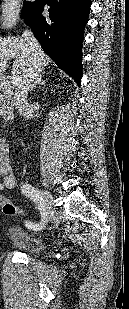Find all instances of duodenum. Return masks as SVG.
Here are the masks:
<instances>
[{
  "mask_svg": "<svg viewBox=\"0 0 129 309\" xmlns=\"http://www.w3.org/2000/svg\"><path fill=\"white\" fill-rule=\"evenodd\" d=\"M1 114L4 119L8 121L11 120L13 118V112L11 106L8 105L7 107H3L1 110Z\"/></svg>",
  "mask_w": 129,
  "mask_h": 309,
  "instance_id": "duodenum-1",
  "label": "duodenum"
}]
</instances>
